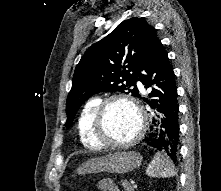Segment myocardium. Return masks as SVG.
<instances>
[{"label": "myocardium", "instance_id": "f54148a6", "mask_svg": "<svg viewBox=\"0 0 221 191\" xmlns=\"http://www.w3.org/2000/svg\"><path fill=\"white\" fill-rule=\"evenodd\" d=\"M117 101H123L130 104L136 110L140 120L139 128L136 134L131 139L123 142L111 141L107 135V127H106L107 110L110 104ZM145 128H146L145 113L139 102L129 95L126 94L111 95L105 98L103 101H101L100 105L96 110L94 117V135L97 139L98 144L101 147L119 149V148H128L130 146H133L134 144L140 141V139L144 135Z\"/></svg>", "mask_w": 221, "mask_h": 191}]
</instances>
